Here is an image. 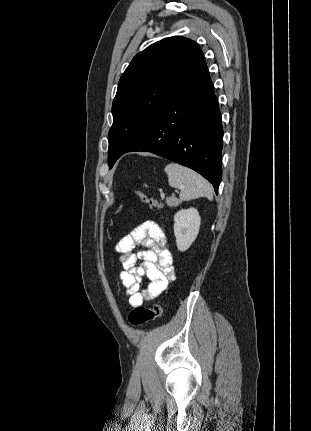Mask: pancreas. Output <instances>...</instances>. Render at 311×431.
<instances>
[{
    "label": "pancreas",
    "mask_w": 311,
    "mask_h": 431,
    "mask_svg": "<svg viewBox=\"0 0 311 431\" xmlns=\"http://www.w3.org/2000/svg\"><path fill=\"white\" fill-rule=\"evenodd\" d=\"M165 204H167L169 208H177L179 204H182V200H178L175 196H170V198H166Z\"/></svg>",
    "instance_id": "1"
}]
</instances>
